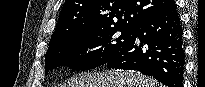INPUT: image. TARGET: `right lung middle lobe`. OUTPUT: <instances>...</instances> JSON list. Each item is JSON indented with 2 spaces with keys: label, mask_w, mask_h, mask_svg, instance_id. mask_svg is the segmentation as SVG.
I'll list each match as a JSON object with an SVG mask.
<instances>
[{
  "label": "right lung middle lobe",
  "mask_w": 205,
  "mask_h": 87,
  "mask_svg": "<svg viewBox=\"0 0 205 87\" xmlns=\"http://www.w3.org/2000/svg\"><path fill=\"white\" fill-rule=\"evenodd\" d=\"M133 31L130 28L114 27L64 37L50 44L45 57V74L60 65L73 70H89L104 65L128 43ZM95 47L98 48L81 55L88 48Z\"/></svg>",
  "instance_id": "1"
}]
</instances>
